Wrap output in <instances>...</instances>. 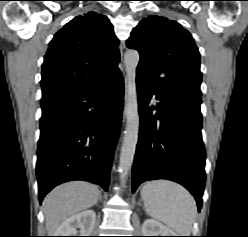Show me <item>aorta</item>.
I'll use <instances>...</instances> for the list:
<instances>
[{
    "instance_id": "aorta-1",
    "label": "aorta",
    "mask_w": 248,
    "mask_h": 237,
    "mask_svg": "<svg viewBox=\"0 0 248 237\" xmlns=\"http://www.w3.org/2000/svg\"><path fill=\"white\" fill-rule=\"evenodd\" d=\"M136 50L126 52L124 63L127 73L126 85V128L120 153L119 172L121 182H125L132 166L139 133V114L136 90V69L139 63Z\"/></svg>"
}]
</instances>
